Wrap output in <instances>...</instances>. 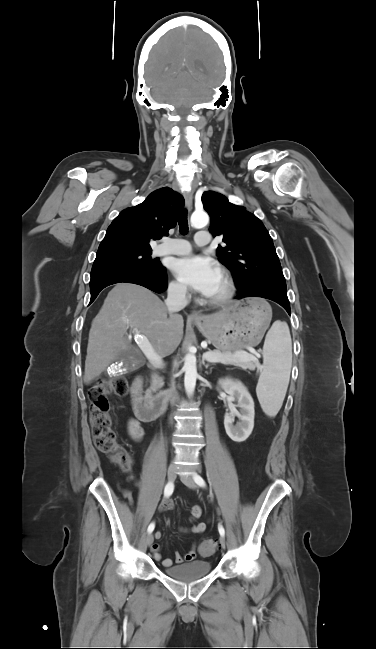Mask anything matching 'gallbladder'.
I'll list each match as a JSON object with an SVG mask.
<instances>
[{
    "instance_id": "bac80fb5",
    "label": "gallbladder",
    "mask_w": 376,
    "mask_h": 649,
    "mask_svg": "<svg viewBox=\"0 0 376 649\" xmlns=\"http://www.w3.org/2000/svg\"><path fill=\"white\" fill-rule=\"evenodd\" d=\"M136 356L133 352L122 351L118 354L115 360L114 370L119 371V369L126 368L129 369L132 363L135 361ZM123 362L122 366H119V363Z\"/></svg>"
}]
</instances>
